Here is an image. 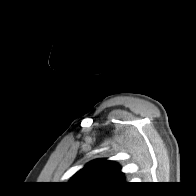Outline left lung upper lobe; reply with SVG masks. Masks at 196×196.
<instances>
[{"mask_svg": "<svg viewBox=\"0 0 196 196\" xmlns=\"http://www.w3.org/2000/svg\"><path fill=\"white\" fill-rule=\"evenodd\" d=\"M73 185L102 188L124 184L121 168L105 159L94 160L78 171L70 181Z\"/></svg>", "mask_w": 196, "mask_h": 196, "instance_id": "1", "label": "left lung upper lobe"}]
</instances>
